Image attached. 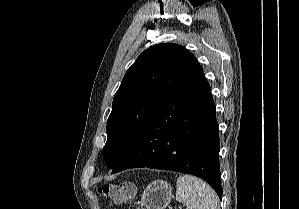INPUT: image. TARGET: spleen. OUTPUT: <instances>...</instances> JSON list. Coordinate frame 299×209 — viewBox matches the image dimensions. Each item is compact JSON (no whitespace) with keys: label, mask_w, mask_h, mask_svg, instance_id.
Returning <instances> with one entry per match:
<instances>
[{"label":"spleen","mask_w":299,"mask_h":209,"mask_svg":"<svg viewBox=\"0 0 299 209\" xmlns=\"http://www.w3.org/2000/svg\"><path fill=\"white\" fill-rule=\"evenodd\" d=\"M176 188V200L185 204L187 209H220L216 192L200 178L181 175Z\"/></svg>","instance_id":"obj_1"}]
</instances>
